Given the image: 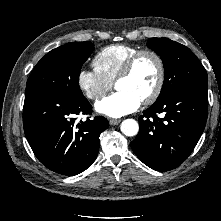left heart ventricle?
Wrapping results in <instances>:
<instances>
[{"instance_id":"obj_1","label":"left heart ventricle","mask_w":221,"mask_h":221,"mask_svg":"<svg viewBox=\"0 0 221 221\" xmlns=\"http://www.w3.org/2000/svg\"><path fill=\"white\" fill-rule=\"evenodd\" d=\"M158 76L156 61L151 56H143L137 63L133 73L116 84L118 91H127L138 98L145 99L154 89Z\"/></svg>"}]
</instances>
